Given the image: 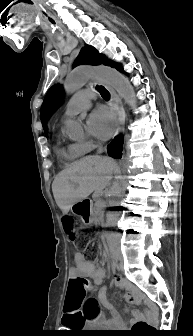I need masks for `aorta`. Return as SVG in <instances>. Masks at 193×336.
I'll return each instance as SVG.
<instances>
[{"label": "aorta", "instance_id": "1", "mask_svg": "<svg viewBox=\"0 0 193 336\" xmlns=\"http://www.w3.org/2000/svg\"><path fill=\"white\" fill-rule=\"evenodd\" d=\"M91 78H98L110 86L129 104L132 108L137 106V98L133 86L127 78L120 74L114 68L108 66H80L75 68L67 77L64 90L68 94H72L84 86ZM66 132L70 139L77 141L83 138L84 129L80 122L70 120L66 124ZM113 197L109 201L111 206L119 203L118 196L121 192V183L116 180L111 188Z\"/></svg>", "mask_w": 193, "mask_h": 336}]
</instances>
